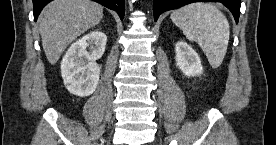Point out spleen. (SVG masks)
<instances>
[{"label":"spleen","mask_w":276,"mask_h":145,"mask_svg":"<svg viewBox=\"0 0 276 145\" xmlns=\"http://www.w3.org/2000/svg\"><path fill=\"white\" fill-rule=\"evenodd\" d=\"M171 20L189 41L200 45L213 68L221 65L226 55L230 30L227 18L215 5L190 3L173 11Z\"/></svg>","instance_id":"obj_1"}]
</instances>
